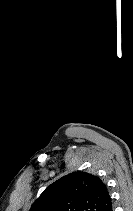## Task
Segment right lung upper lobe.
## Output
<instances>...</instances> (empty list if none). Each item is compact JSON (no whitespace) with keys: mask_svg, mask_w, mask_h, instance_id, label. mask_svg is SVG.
Segmentation results:
<instances>
[{"mask_svg":"<svg viewBox=\"0 0 133 211\" xmlns=\"http://www.w3.org/2000/svg\"><path fill=\"white\" fill-rule=\"evenodd\" d=\"M30 211H112V202L97 176L79 171L49 185Z\"/></svg>","mask_w":133,"mask_h":211,"instance_id":"cb5924a9","label":"right lung upper lobe"}]
</instances>
